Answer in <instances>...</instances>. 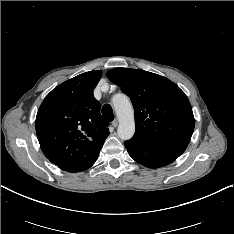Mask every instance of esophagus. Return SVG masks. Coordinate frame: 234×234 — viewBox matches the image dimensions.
Here are the masks:
<instances>
[{"instance_id":"1","label":"esophagus","mask_w":234,"mask_h":234,"mask_svg":"<svg viewBox=\"0 0 234 234\" xmlns=\"http://www.w3.org/2000/svg\"><path fill=\"white\" fill-rule=\"evenodd\" d=\"M111 124H112L113 127H117L118 126V120L114 119Z\"/></svg>"}]
</instances>
